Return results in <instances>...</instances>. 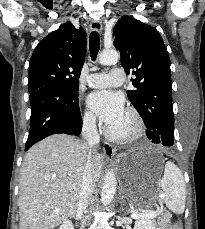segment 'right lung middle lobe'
I'll use <instances>...</instances> for the list:
<instances>
[{
	"label": "right lung middle lobe",
	"instance_id": "right-lung-middle-lobe-1",
	"mask_svg": "<svg viewBox=\"0 0 205 229\" xmlns=\"http://www.w3.org/2000/svg\"><path fill=\"white\" fill-rule=\"evenodd\" d=\"M62 87L71 89V90H73L76 94H78L79 87H78V84H77V83H74V84H71V83H64V85H63Z\"/></svg>",
	"mask_w": 205,
	"mask_h": 229
}]
</instances>
